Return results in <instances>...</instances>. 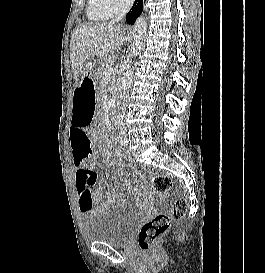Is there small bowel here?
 <instances>
[{"label":"small bowel","instance_id":"1","mask_svg":"<svg viewBox=\"0 0 265 273\" xmlns=\"http://www.w3.org/2000/svg\"><path fill=\"white\" fill-rule=\"evenodd\" d=\"M95 91H80L74 94V117L73 124L70 125V143L72 157L76 170V193L80 212L90 218L99 208H111L115 204H122L121 197L110 196L106 202L102 203L104 193L97 188L100 170L95 165L92 142L89 138L87 128L92 122L93 109L95 105ZM101 153L109 156L107 147H101ZM132 193L137 194V190ZM100 204V205H99Z\"/></svg>","mask_w":265,"mask_h":273}]
</instances>
